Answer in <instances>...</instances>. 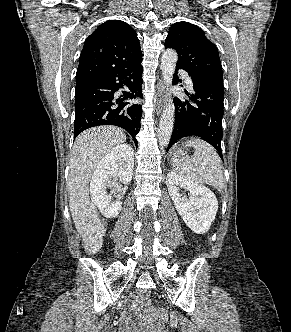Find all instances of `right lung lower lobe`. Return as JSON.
I'll use <instances>...</instances> for the list:
<instances>
[{
    "mask_svg": "<svg viewBox=\"0 0 291 332\" xmlns=\"http://www.w3.org/2000/svg\"><path fill=\"white\" fill-rule=\"evenodd\" d=\"M142 72L139 61L126 69L76 79L74 137L94 126L115 125L127 130L137 145L142 108L123 101L143 97ZM124 86L130 92L123 91L122 98L116 99V91Z\"/></svg>",
    "mask_w": 291,
    "mask_h": 332,
    "instance_id": "1",
    "label": "right lung lower lobe"
}]
</instances>
